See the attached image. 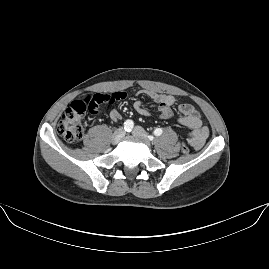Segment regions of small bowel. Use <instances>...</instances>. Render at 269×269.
Returning <instances> with one entry per match:
<instances>
[{
    "label": "small bowel",
    "mask_w": 269,
    "mask_h": 269,
    "mask_svg": "<svg viewBox=\"0 0 269 269\" xmlns=\"http://www.w3.org/2000/svg\"><path fill=\"white\" fill-rule=\"evenodd\" d=\"M139 95L148 96L154 105L158 107L162 119H171L174 117L172 106L175 104V97L172 95L160 94L152 90H141ZM134 110L141 116H149L150 112L144 107L142 100L137 99L133 102ZM180 116L175 118L176 122L189 128V143L193 149L199 150L204 145L209 129L203 125L199 112L189 103H182L178 106ZM121 118L119 110H112L109 113V119L116 122Z\"/></svg>",
    "instance_id": "small-bowel-1"
}]
</instances>
